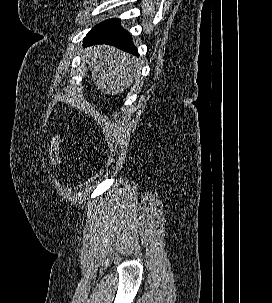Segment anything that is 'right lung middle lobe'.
<instances>
[{"label": "right lung middle lobe", "mask_w": 272, "mask_h": 303, "mask_svg": "<svg viewBox=\"0 0 272 303\" xmlns=\"http://www.w3.org/2000/svg\"><path fill=\"white\" fill-rule=\"evenodd\" d=\"M119 19H109V20H106L98 25H96L91 31L95 30V29H98V28H101V27H104V26H107V25H110L112 23H115V22H118Z\"/></svg>", "instance_id": "1"}]
</instances>
